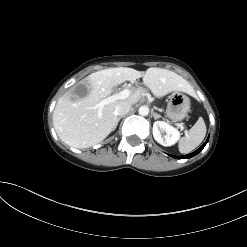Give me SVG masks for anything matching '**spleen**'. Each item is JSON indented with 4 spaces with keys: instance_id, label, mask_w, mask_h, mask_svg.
I'll list each match as a JSON object with an SVG mask.
<instances>
[{
    "instance_id": "1",
    "label": "spleen",
    "mask_w": 247,
    "mask_h": 247,
    "mask_svg": "<svg viewBox=\"0 0 247 247\" xmlns=\"http://www.w3.org/2000/svg\"><path fill=\"white\" fill-rule=\"evenodd\" d=\"M206 135V125L202 117L189 130L188 134L179 141L178 148L180 153L187 154L194 150L203 141Z\"/></svg>"
}]
</instances>
